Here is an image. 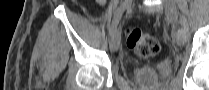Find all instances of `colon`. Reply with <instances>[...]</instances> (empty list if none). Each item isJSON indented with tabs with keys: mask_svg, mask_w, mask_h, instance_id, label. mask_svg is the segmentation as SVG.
I'll return each instance as SVG.
<instances>
[{
	"mask_svg": "<svg viewBox=\"0 0 209 90\" xmlns=\"http://www.w3.org/2000/svg\"><path fill=\"white\" fill-rule=\"evenodd\" d=\"M127 46L143 58L155 57L160 50L158 40L139 28H128L125 32Z\"/></svg>",
	"mask_w": 209,
	"mask_h": 90,
	"instance_id": "5ec220e1",
	"label": "colon"
}]
</instances>
